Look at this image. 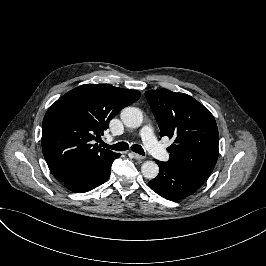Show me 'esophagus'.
I'll list each match as a JSON object with an SVG mask.
<instances>
[{
	"instance_id": "34e87169",
	"label": "esophagus",
	"mask_w": 266,
	"mask_h": 266,
	"mask_svg": "<svg viewBox=\"0 0 266 266\" xmlns=\"http://www.w3.org/2000/svg\"><path fill=\"white\" fill-rule=\"evenodd\" d=\"M132 154H133V156H134V158L136 160H142V159H144V157L142 155H139L138 153L132 152Z\"/></svg>"
}]
</instances>
